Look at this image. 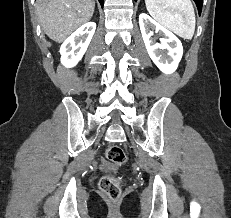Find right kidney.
<instances>
[{
	"mask_svg": "<svg viewBox=\"0 0 231 218\" xmlns=\"http://www.w3.org/2000/svg\"><path fill=\"white\" fill-rule=\"evenodd\" d=\"M96 29L95 22H88L68 37L60 48L61 63L71 68L77 65L85 54Z\"/></svg>",
	"mask_w": 231,
	"mask_h": 218,
	"instance_id": "ca27d5eb",
	"label": "right kidney"
}]
</instances>
